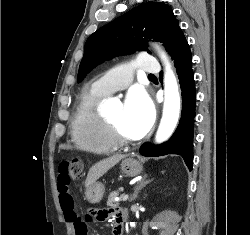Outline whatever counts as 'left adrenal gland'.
<instances>
[{
  "label": "left adrenal gland",
  "mask_w": 250,
  "mask_h": 235,
  "mask_svg": "<svg viewBox=\"0 0 250 235\" xmlns=\"http://www.w3.org/2000/svg\"><path fill=\"white\" fill-rule=\"evenodd\" d=\"M146 178H147V175H145L144 178L141 181L138 182V184H137V186L135 188L134 194L131 197L130 201L136 200L140 190L143 189L147 184H149L152 181V180H147Z\"/></svg>",
  "instance_id": "1"
}]
</instances>
